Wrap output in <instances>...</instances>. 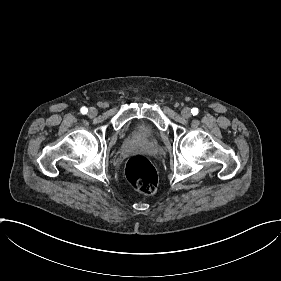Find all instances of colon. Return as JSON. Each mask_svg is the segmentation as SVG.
Instances as JSON below:
<instances>
[{
    "label": "colon",
    "instance_id": "1",
    "mask_svg": "<svg viewBox=\"0 0 281 281\" xmlns=\"http://www.w3.org/2000/svg\"><path fill=\"white\" fill-rule=\"evenodd\" d=\"M125 175L135 189L143 192L153 191L158 184L155 168L147 158L141 155H133L127 160Z\"/></svg>",
    "mask_w": 281,
    "mask_h": 281
}]
</instances>
